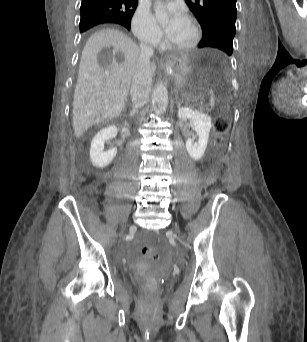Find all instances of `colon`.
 <instances>
[{"instance_id":"1","label":"colon","mask_w":307,"mask_h":342,"mask_svg":"<svg viewBox=\"0 0 307 342\" xmlns=\"http://www.w3.org/2000/svg\"><path fill=\"white\" fill-rule=\"evenodd\" d=\"M228 129V123L226 120L218 119L214 126V136H213V144L214 146H218L222 143L221 135L224 134ZM141 251L143 256L151 261H158L159 256L158 253L155 251L153 246H142Z\"/></svg>"}]
</instances>
